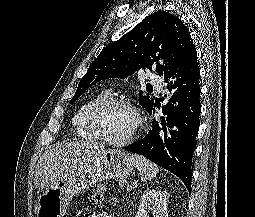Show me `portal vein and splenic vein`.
<instances>
[{
    "mask_svg": "<svg viewBox=\"0 0 255 217\" xmlns=\"http://www.w3.org/2000/svg\"><path fill=\"white\" fill-rule=\"evenodd\" d=\"M126 189H127L128 191H130V190H132V186H131V185H127Z\"/></svg>",
    "mask_w": 255,
    "mask_h": 217,
    "instance_id": "portal-vein-and-splenic-vein-1",
    "label": "portal vein and splenic vein"
}]
</instances>
